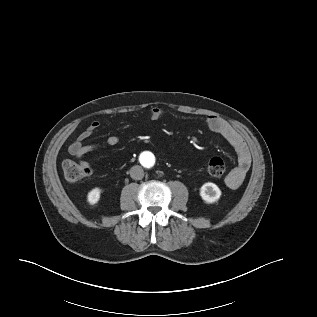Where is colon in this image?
Here are the masks:
<instances>
[{"instance_id":"obj_1","label":"colon","mask_w":317,"mask_h":317,"mask_svg":"<svg viewBox=\"0 0 317 317\" xmlns=\"http://www.w3.org/2000/svg\"><path fill=\"white\" fill-rule=\"evenodd\" d=\"M204 167L210 177L219 178L227 172L228 164L222 158L214 157L207 161ZM62 169L65 178L69 182H79L90 174L88 166L71 160H65Z\"/></svg>"}]
</instances>
